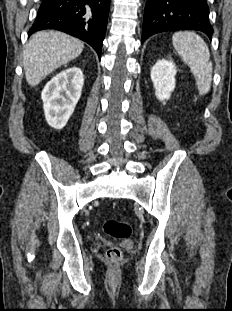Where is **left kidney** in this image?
<instances>
[{"mask_svg":"<svg viewBox=\"0 0 232 311\" xmlns=\"http://www.w3.org/2000/svg\"><path fill=\"white\" fill-rule=\"evenodd\" d=\"M176 66L173 61L165 59L157 61L151 69V80L154 85L155 95L160 101L170 98L175 88Z\"/></svg>","mask_w":232,"mask_h":311,"instance_id":"5707ae66","label":"left kidney"}]
</instances>
